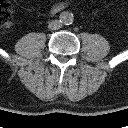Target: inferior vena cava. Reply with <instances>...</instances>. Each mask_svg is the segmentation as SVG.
Instances as JSON below:
<instances>
[{
	"label": "inferior vena cava",
	"mask_w": 128,
	"mask_h": 128,
	"mask_svg": "<svg viewBox=\"0 0 128 128\" xmlns=\"http://www.w3.org/2000/svg\"><path fill=\"white\" fill-rule=\"evenodd\" d=\"M48 28L50 30H58L61 28V22L59 20H53L49 22Z\"/></svg>",
	"instance_id": "1"
}]
</instances>
